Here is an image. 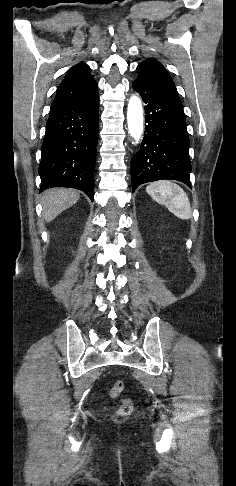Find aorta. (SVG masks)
Listing matches in <instances>:
<instances>
[{
	"instance_id": "1",
	"label": "aorta",
	"mask_w": 236,
	"mask_h": 486,
	"mask_svg": "<svg viewBox=\"0 0 236 486\" xmlns=\"http://www.w3.org/2000/svg\"><path fill=\"white\" fill-rule=\"evenodd\" d=\"M143 107L140 98L133 95L128 103L127 122L130 136L134 139L133 144L139 142L143 133Z\"/></svg>"
}]
</instances>
